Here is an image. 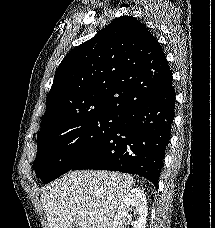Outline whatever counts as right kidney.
Segmentation results:
<instances>
[{"mask_svg": "<svg viewBox=\"0 0 215 228\" xmlns=\"http://www.w3.org/2000/svg\"><path fill=\"white\" fill-rule=\"evenodd\" d=\"M147 214V200L143 190L133 188L121 200L118 212L112 222V228H124L128 224H131L133 228H146ZM133 216H135L134 222H132Z\"/></svg>", "mask_w": 215, "mask_h": 228, "instance_id": "obj_1", "label": "right kidney"}]
</instances>
